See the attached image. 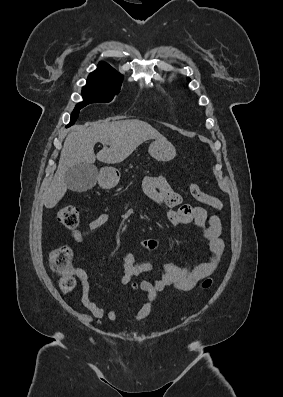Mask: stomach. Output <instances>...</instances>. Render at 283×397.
<instances>
[{"label":"stomach","mask_w":283,"mask_h":397,"mask_svg":"<svg viewBox=\"0 0 283 397\" xmlns=\"http://www.w3.org/2000/svg\"><path fill=\"white\" fill-rule=\"evenodd\" d=\"M150 155L158 161H170L176 155L175 147L166 139L155 140L149 146ZM97 180L102 188L114 187L118 180L117 170L113 167H104L97 173Z\"/></svg>","instance_id":"stomach-1"}]
</instances>
